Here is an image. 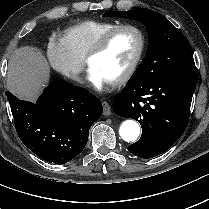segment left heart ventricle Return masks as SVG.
Here are the masks:
<instances>
[{
  "label": "left heart ventricle",
  "instance_id": "b2bd125f",
  "mask_svg": "<svg viewBox=\"0 0 209 209\" xmlns=\"http://www.w3.org/2000/svg\"><path fill=\"white\" fill-rule=\"evenodd\" d=\"M139 37L133 30H122L111 38L106 49L92 59L96 68L108 82L121 77L128 69L139 49Z\"/></svg>",
  "mask_w": 209,
  "mask_h": 209
}]
</instances>
